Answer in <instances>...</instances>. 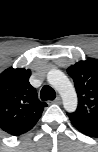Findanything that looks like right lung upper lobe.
Instances as JSON below:
<instances>
[{
    "instance_id": "cb5924a9",
    "label": "right lung upper lobe",
    "mask_w": 98,
    "mask_h": 152,
    "mask_svg": "<svg viewBox=\"0 0 98 152\" xmlns=\"http://www.w3.org/2000/svg\"><path fill=\"white\" fill-rule=\"evenodd\" d=\"M29 69L8 68L0 74V129L18 136L29 131L42 115L45 102L29 83Z\"/></svg>"
}]
</instances>
